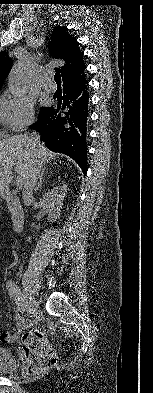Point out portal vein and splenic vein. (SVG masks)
I'll return each mask as SVG.
<instances>
[{"mask_svg":"<svg viewBox=\"0 0 153 393\" xmlns=\"http://www.w3.org/2000/svg\"><path fill=\"white\" fill-rule=\"evenodd\" d=\"M16 185H17V186H20V180H17V181H16Z\"/></svg>","mask_w":153,"mask_h":393,"instance_id":"obj_1","label":"portal vein and splenic vein"}]
</instances>
